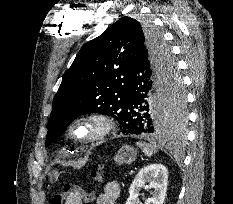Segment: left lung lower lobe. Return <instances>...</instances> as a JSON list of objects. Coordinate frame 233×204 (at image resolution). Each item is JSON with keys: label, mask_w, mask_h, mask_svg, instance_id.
I'll list each match as a JSON object with an SVG mask.
<instances>
[{"label": "left lung lower lobe", "mask_w": 233, "mask_h": 204, "mask_svg": "<svg viewBox=\"0 0 233 204\" xmlns=\"http://www.w3.org/2000/svg\"><path fill=\"white\" fill-rule=\"evenodd\" d=\"M171 77L170 88L175 85L178 79H181L177 66L173 70ZM166 90V82L160 72L153 67L149 51L141 48L130 71L129 93L121 109L122 133L139 135L179 131V137H181L184 121L178 127L160 131ZM153 103L160 106V110L156 111L152 107Z\"/></svg>", "instance_id": "0a47b994"}]
</instances>
